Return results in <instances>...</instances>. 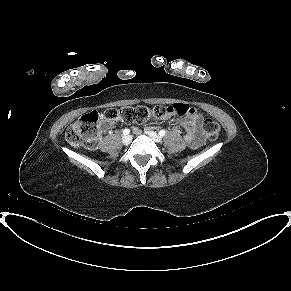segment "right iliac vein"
Here are the masks:
<instances>
[{"label":"right iliac vein","instance_id":"right-iliac-vein-1","mask_svg":"<svg viewBox=\"0 0 291 291\" xmlns=\"http://www.w3.org/2000/svg\"><path fill=\"white\" fill-rule=\"evenodd\" d=\"M130 142H131V136H130V135H124V136L122 137V143H123L124 145H129Z\"/></svg>","mask_w":291,"mask_h":291}]
</instances>
